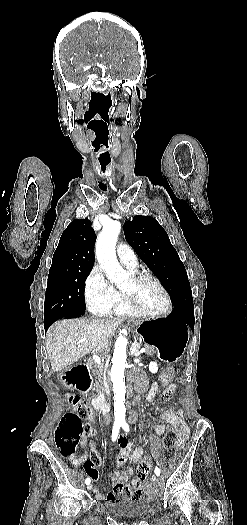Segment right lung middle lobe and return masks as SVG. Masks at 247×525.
Returning <instances> with one entry per match:
<instances>
[{"instance_id":"obj_1","label":"right lung middle lobe","mask_w":247,"mask_h":525,"mask_svg":"<svg viewBox=\"0 0 247 525\" xmlns=\"http://www.w3.org/2000/svg\"><path fill=\"white\" fill-rule=\"evenodd\" d=\"M91 270L49 271L45 294L44 324L85 313L84 285Z\"/></svg>"}]
</instances>
